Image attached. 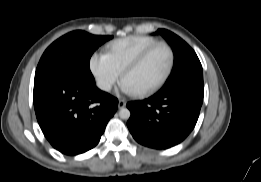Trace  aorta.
<instances>
[{"instance_id":"762f6f07","label":"aorta","mask_w":261,"mask_h":182,"mask_svg":"<svg viewBox=\"0 0 261 182\" xmlns=\"http://www.w3.org/2000/svg\"><path fill=\"white\" fill-rule=\"evenodd\" d=\"M130 115H131V113H130L129 109H127V108H122V109L119 111V117H120L121 119L127 120V119L130 118Z\"/></svg>"}]
</instances>
